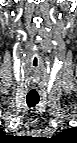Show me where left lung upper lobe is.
Masks as SVG:
<instances>
[{"label": "left lung upper lobe", "mask_w": 77, "mask_h": 143, "mask_svg": "<svg viewBox=\"0 0 77 143\" xmlns=\"http://www.w3.org/2000/svg\"><path fill=\"white\" fill-rule=\"evenodd\" d=\"M76 128H68L61 132L57 137L62 140H75Z\"/></svg>", "instance_id": "5c2ea615"}]
</instances>
